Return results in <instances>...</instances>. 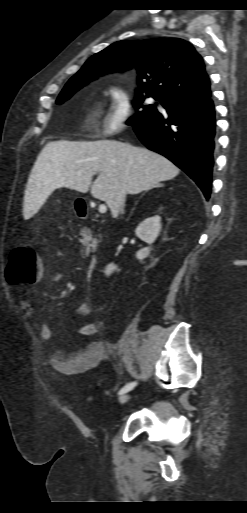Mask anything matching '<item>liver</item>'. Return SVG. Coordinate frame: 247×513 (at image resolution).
Masks as SVG:
<instances>
[{
	"mask_svg": "<svg viewBox=\"0 0 247 513\" xmlns=\"http://www.w3.org/2000/svg\"><path fill=\"white\" fill-rule=\"evenodd\" d=\"M167 158L143 147L114 140L48 143L40 152L29 176L23 213L34 215L57 188L86 193L93 176V197L105 201L113 218L119 214L122 195L138 194L179 174Z\"/></svg>",
	"mask_w": 247,
	"mask_h": 513,
	"instance_id": "6515ba94",
	"label": "liver"
}]
</instances>
